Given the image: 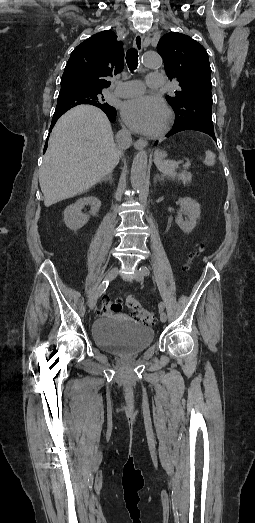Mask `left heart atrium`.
Returning <instances> with one entry per match:
<instances>
[{
    "instance_id": "1",
    "label": "left heart atrium",
    "mask_w": 255,
    "mask_h": 523,
    "mask_svg": "<svg viewBox=\"0 0 255 523\" xmlns=\"http://www.w3.org/2000/svg\"><path fill=\"white\" fill-rule=\"evenodd\" d=\"M122 116L135 130L153 134L162 128L166 115L164 102L156 97L142 96L141 99H129L121 105Z\"/></svg>"
}]
</instances>
